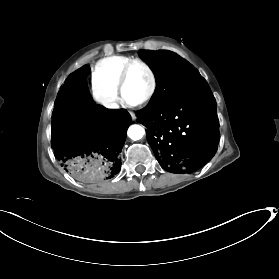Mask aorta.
<instances>
[{"mask_svg": "<svg viewBox=\"0 0 279 279\" xmlns=\"http://www.w3.org/2000/svg\"><path fill=\"white\" fill-rule=\"evenodd\" d=\"M145 134V129L137 124L131 125L128 128L127 135L130 139L137 141L140 140Z\"/></svg>", "mask_w": 279, "mask_h": 279, "instance_id": "1", "label": "aorta"}]
</instances>
